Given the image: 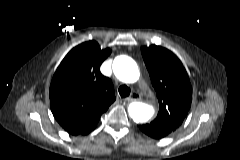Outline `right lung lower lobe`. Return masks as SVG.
Masks as SVG:
<instances>
[{"label": "right lung lower lobe", "mask_w": 240, "mask_h": 160, "mask_svg": "<svg viewBox=\"0 0 240 160\" xmlns=\"http://www.w3.org/2000/svg\"><path fill=\"white\" fill-rule=\"evenodd\" d=\"M90 132V131H89ZM89 132H86V133H84V134H82V135H86V134H88Z\"/></svg>", "instance_id": "obj_1"}]
</instances>
